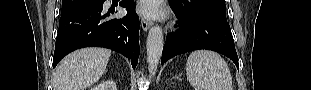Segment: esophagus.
Masks as SVG:
<instances>
[{
	"label": "esophagus",
	"instance_id": "34e87169",
	"mask_svg": "<svg viewBox=\"0 0 311 90\" xmlns=\"http://www.w3.org/2000/svg\"><path fill=\"white\" fill-rule=\"evenodd\" d=\"M151 26V22L147 20L146 18L141 19V27L143 31H147Z\"/></svg>",
	"mask_w": 311,
	"mask_h": 90
}]
</instances>
